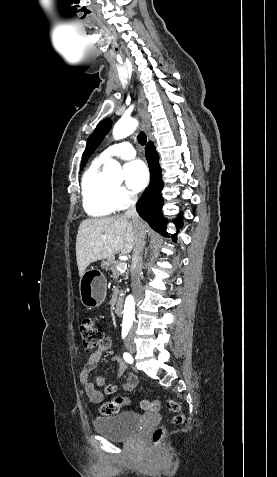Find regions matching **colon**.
<instances>
[{
  "label": "colon",
  "instance_id": "obj_1",
  "mask_svg": "<svg viewBox=\"0 0 277 477\" xmlns=\"http://www.w3.org/2000/svg\"><path fill=\"white\" fill-rule=\"evenodd\" d=\"M80 334L83 348L86 352H93L99 345L102 340V330L91 318H84L80 323ZM108 392H112L113 387H109ZM124 405V399L121 397H116L109 400L104 404L102 412L107 414H113L120 411L121 407ZM166 406L169 411L174 413L172 421L174 424H181L184 420V416L181 411V406L178 402L174 400H169L166 403ZM142 408L156 412L160 408V402L158 400L152 401H143ZM165 436V429L163 427L157 428L152 434V442L155 446H158L162 439Z\"/></svg>",
  "mask_w": 277,
  "mask_h": 477
}]
</instances>
